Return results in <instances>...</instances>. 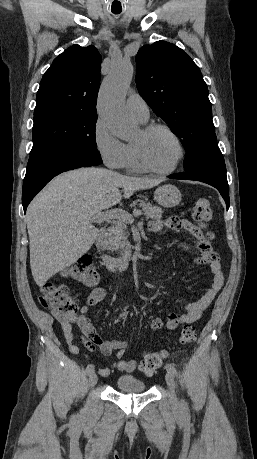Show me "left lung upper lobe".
Masks as SVG:
<instances>
[{
	"mask_svg": "<svg viewBox=\"0 0 257 459\" xmlns=\"http://www.w3.org/2000/svg\"><path fill=\"white\" fill-rule=\"evenodd\" d=\"M136 84L142 98L181 140L185 171H198L217 158L207 84L198 66L165 41L143 46L137 56Z\"/></svg>",
	"mask_w": 257,
	"mask_h": 459,
	"instance_id": "obj_1",
	"label": "left lung upper lobe"
}]
</instances>
